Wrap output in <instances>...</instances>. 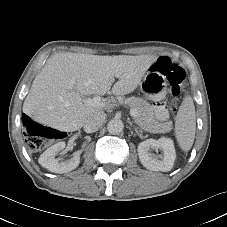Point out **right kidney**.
Segmentation results:
<instances>
[{"instance_id": "1", "label": "right kidney", "mask_w": 227, "mask_h": 227, "mask_svg": "<svg viewBox=\"0 0 227 227\" xmlns=\"http://www.w3.org/2000/svg\"><path fill=\"white\" fill-rule=\"evenodd\" d=\"M65 148V142H58L48 148L39 157V163L41 166L54 173H66L74 170L80 163V155L75 154L69 160H62L56 158L58 153Z\"/></svg>"}]
</instances>
